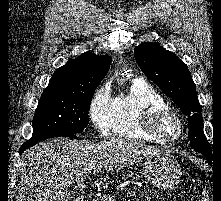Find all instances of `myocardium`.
<instances>
[{"label": "myocardium", "mask_w": 221, "mask_h": 201, "mask_svg": "<svg viewBox=\"0 0 221 201\" xmlns=\"http://www.w3.org/2000/svg\"><path fill=\"white\" fill-rule=\"evenodd\" d=\"M168 121H173L176 124L177 131L175 134H169L165 131L164 125ZM140 128L147 135L164 143L178 140L184 131L182 119L168 106L148 109L140 120Z\"/></svg>", "instance_id": "myocardium-1"}]
</instances>
